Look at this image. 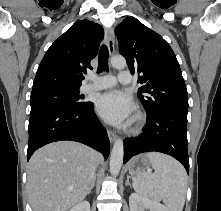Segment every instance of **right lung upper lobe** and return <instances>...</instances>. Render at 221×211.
<instances>
[{
  "instance_id": "cb5924a9",
  "label": "right lung upper lobe",
  "mask_w": 221,
  "mask_h": 211,
  "mask_svg": "<svg viewBox=\"0 0 221 211\" xmlns=\"http://www.w3.org/2000/svg\"><path fill=\"white\" fill-rule=\"evenodd\" d=\"M104 36L102 26L88 20L74 23L45 53L32 91L46 88H80L83 73L92 69Z\"/></svg>"
}]
</instances>
